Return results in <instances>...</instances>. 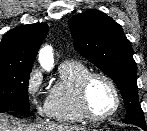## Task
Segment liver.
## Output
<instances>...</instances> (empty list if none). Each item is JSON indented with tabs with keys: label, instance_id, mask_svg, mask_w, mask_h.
<instances>
[{
	"label": "liver",
	"instance_id": "liver-1",
	"mask_svg": "<svg viewBox=\"0 0 147 131\" xmlns=\"http://www.w3.org/2000/svg\"><path fill=\"white\" fill-rule=\"evenodd\" d=\"M9 116L0 114V131H86V127L68 124H22L18 126L9 123Z\"/></svg>",
	"mask_w": 147,
	"mask_h": 131
}]
</instances>
